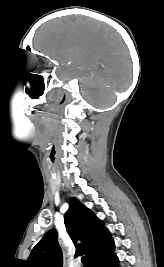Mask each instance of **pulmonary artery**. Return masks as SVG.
Returning <instances> with one entry per match:
<instances>
[{"label": "pulmonary artery", "instance_id": "e3ab8cb5", "mask_svg": "<svg viewBox=\"0 0 164 267\" xmlns=\"http://www.w3.org/2000/svg\"><path fill=\"white\" fill-rule=\"evenodd\" d=\"M76 267H79V264H76Z\"/></svg>", "mask_w": 164, "mask_h": 267}]
</instances>
